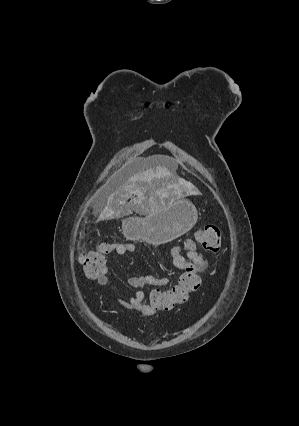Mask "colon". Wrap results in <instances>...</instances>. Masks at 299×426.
<instances>
[{
  "instance_id": "obj_1",
  "label": "colon",
  "mask_w": 299,
  "mask_h": 426,
  "mask_svg": "<svg viewBox=\"0 0 299 426\" xmlns=\"http://www.w3.org/2000/svg\"><path fill=\"white\" fill-rule=\"evenodd\" d=\"M109 245L101 243L94 250L79 255L78 262L87 277L99 276L106 262ZM185 248L188 251L201 248L210 253H217L221 248L220 229L213 224L198 227L194 236L186 241ZM199 286V269L195 264L188 263L176 284L167 288L153 286L146 292V298L149 304L159 311H168L185 303Z\"/></svg>"
}]
</instances>
